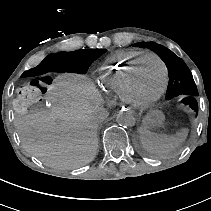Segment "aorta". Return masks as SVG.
I'll return each instance as SVG.
<instances>
[{
    "label": "aorta",
    "instance_id": "1",
    "mask_svg": "<svg viewBox=\"0 0 211 211\" xmlns=\"http://www.w3.org/2000/svg\"><path fill=\"white\" fill-rule=\"evenodd\" d=\"M116 121L120 126L132 127L136 123L134 114L131 111H120L116 117Z\"/></svg>",
    "mask_w": 211,
    "mask_h": 211
}]
</instances>
